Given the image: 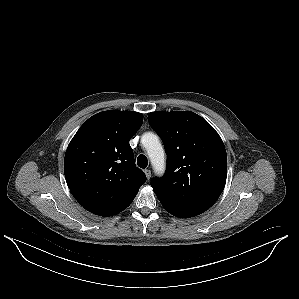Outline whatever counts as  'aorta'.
<instances>
[{"instance_id":"762f6f07","label":"aorta","mask_w":299,"mask_h":299,"mask_svg":"<svg viewBox=\"0 0 299 299\" xmlns=\"http://www.w3.org/2000/svg\"><path fill=\"white\" fill-rule=\"evenodd\" d=\"M143 146L146 148L155 172L162 174L165 169L164 149L158 137L153 133H145L141 138Z\"/></svg>"}]
</instances>
